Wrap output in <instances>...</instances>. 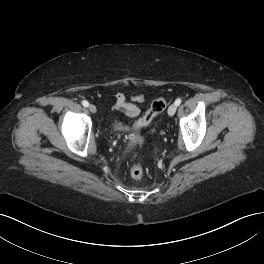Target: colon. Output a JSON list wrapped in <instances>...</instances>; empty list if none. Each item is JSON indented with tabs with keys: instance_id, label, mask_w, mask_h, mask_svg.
<instances>
[{
	"instance_id": "1",
	"label": "colon",
	"mask_w": 264,
	"mask_h": 264,
	"mask_svg": "<svg viewBox=\"0 0 264 264\" xmlns=\"http://www.w3.org/2000/svg\"><path fill=\"white\" fill-rule=\"evenodd\" d=\"M166 101L163 98L155 99L144 115L134 124L136 128L147 126L152 120L166 108ZM130 175L134 179H140L144 175V168L135 164L130 169Z\"/></svg>"
}]
</instances>
